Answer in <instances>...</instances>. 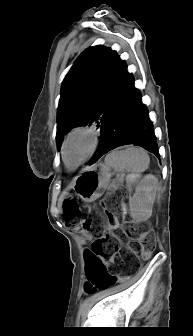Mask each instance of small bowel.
<instances>
[{"label":"small bowel","mask_w":193,"mask_h":336,"mask_svg":"<svg viewBox=\"0 0 193 336\" xmlns=\"http://www.w3.org/2000/svg\"><path fill=\"white\" fill-rule=\"evenodd\" d=\"M108 262H105L104 265H107ZM88 268H89V254L86 255V274L88 272Z\"/></svg>","instance_id":"small-bowel-1"}]
</instances>
